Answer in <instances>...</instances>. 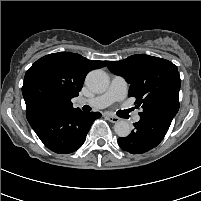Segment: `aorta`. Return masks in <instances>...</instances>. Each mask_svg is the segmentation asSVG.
I'll return each mask as SVG.
<instances>
[{"label": "aorta", "mask_w": 201, "mask_h": 201, "mask_svg": "<svg viewBox=\"0 0 201 201\" xmlns=\"http://www.w3.org/2000/svg\"><path fill=\"white\" fill-rule=\"evenodd\" d=\"M86 84L95 93H103L109 86L108 75L103 70H93L86 77ZM114 131L119 137H127L130 132V124L121 120L115 123Z\"/></svg>", "instance_id": "obj_1"}]
</instances>
